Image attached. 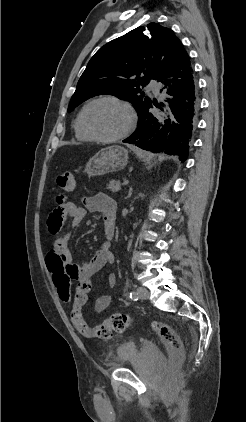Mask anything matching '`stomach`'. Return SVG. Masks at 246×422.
I'll return each instance as SVG.
<instances>
[{"mask_svg": "<svg viewBox=\"0 0 246 422\" xmlns=\"http://www.w3.org/2000/svg\"><path fill=\"white\" fill-rule=\"evenodd\" d=\"M128 163V150L113 145L98 151L86 164L85 172L89 176H100L124 169Z\"/></svg>", "mask_w": 246, "mask_h": 422, "instance_id": "obj_1", "label": "stomach"}]
</instances>
